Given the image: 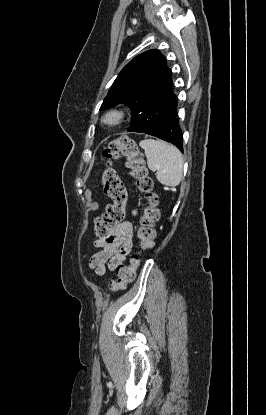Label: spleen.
<instances>
[{
  "instance_id": "obj_1",
  "label": "spleen",
  "mask_w": 266,
  "mask_h": 415,
  "mask_svg": "<svg viewBox=\"0 0 266 415\" xmlns=\"http://www.w3.org/2000/svg\"><path fill=\"white\" fill-rule=\"evenodd\" d=\"M139 145L145 151L149 169L157 171V180L168 187L178 186L183 176L181 152L175 146L160 140L145 139Z\"/></svg>"
}]
</instances>
